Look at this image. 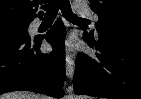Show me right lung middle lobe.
<instances>
[{"instance_id":"right-lung-middle-lobe-1","label":"right lung middle lobe","mask_w":141,"mask_h":99,"mask_svg":"<svg viewBox=\"0 0 141 99\" xmlns=\"http://www.w3.org/2000/svg\"><path fill=\"white\" fill-rule=\"evenodd\" d=\"M31 21H2L0 22V33L4 34H28V25Z\"/></svg>"}]
</instances>
